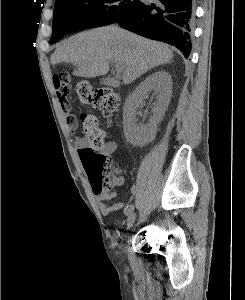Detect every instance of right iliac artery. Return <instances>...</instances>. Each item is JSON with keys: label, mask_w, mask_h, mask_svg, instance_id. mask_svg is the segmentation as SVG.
I'll return each mask as SVG.
<instances>
[{"label": "right iliac artery", "mask_w": 245, "mask_h": 300, "mask_svg": "<svg viewBox=\"0 0 245 300\" xmlns=\"http://www.w3.org/2000/svg\"><path fill=\"white\" fill-rule=\"evenodd\" d=\"M133 210H134V205H129V206H127V208H126V210H125V214L128 215V214H130Z\"/></svg>", "instance_id": "obj_1"}]
</instances>
